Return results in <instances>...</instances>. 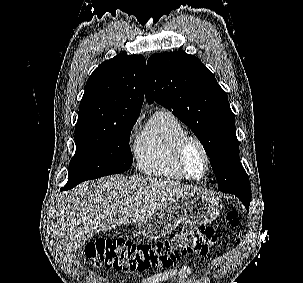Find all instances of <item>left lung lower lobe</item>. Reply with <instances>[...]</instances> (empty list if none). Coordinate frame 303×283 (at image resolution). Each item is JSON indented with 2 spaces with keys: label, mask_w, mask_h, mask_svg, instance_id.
I'll return each instance as SVG.
<instances>
[{
  "label": "left lung lower lobe",
  "mask_w": 303,
  "mask_h": 283,
  "mask_svg": "<svg viewBox=\"0 0 303 283\" xmlns=\"http://www.w3.org/2000/svg\"><path fill=\"white\" fill-rule=\"evenodd\" d=\"M222 192L234 194L241 200V202L244 204L246 209L247 210L249 209L251 195L245 194V193H243L241 191H237V190H223Z\"/></svg>",
  "instance_id": "left-lung-lower-lobe-1"
}]
</instances>
